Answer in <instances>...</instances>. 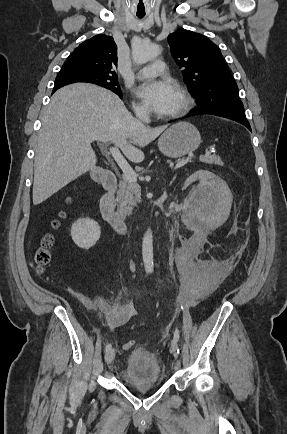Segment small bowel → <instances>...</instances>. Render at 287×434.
Returning a JSON list of instances; mask_svg holds the SVG:
<instances>
[{
    "label": "small bowel",
    "mask_w": 287,
    "mask_h": 434,
    "mask_svg": "<svg viewBox=\"0 0 287 434\" xmlns=\"http://www.w3.org/2000/svg\"><path fill=\"white\" fill-rule=\"evenodd\" d=\"M70 293L89 311L95 312L97 306L103 312L105 320L111 328L126 324L135 314L133 305L129 300L118 302L98 295L95 301H92L75 288L70 289Z\"/></svg>",
    "instance_id": "obj_1"
}]
</instances>
